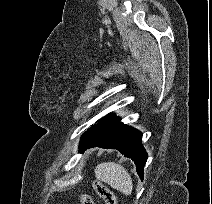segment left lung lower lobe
<instances>
[{
  "label": "left lung lower lobe",
  "mask_w": 212,
  "mask_h": 204,
  "mask_svg": "<svg viewBox=\"0 0 212 204\" xmlns=\"http://www.w3.org/2000/svg\"><path fill=\"white\" fill-rule=\"evenodd\" d=\"M141 141L140 131L120 123V120L112 115H107L98 125H94L83 134L79 152L96 146L117 149L135 162L138 175L143 180V168L148 156Z\"/></svg>",
  "instance_id": "left-lung-lower-lobe-1"
}]
</instances>
